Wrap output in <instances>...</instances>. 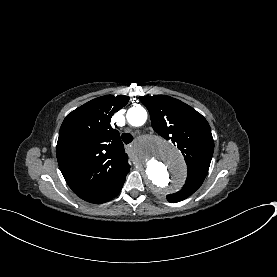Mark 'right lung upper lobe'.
I'll return each mask as SVG.
<instances>
[{"instance_id":"1","label":"right lung upper lobe","mask_w":277,"mask_h":277,"mask_svg":"<svg viewBox=\"0 0 277 277\" xmlns=\"http://www.w3.org/2000/svg\"><path fill=\"white\" fill-rule=\"evenodd\" d=\"M128 96L106 95L78 107L64 119L56 147L60 170L73 192L85 201H108L124 184L130 170L120 134L110 125L112 115ZM92 164L91 168L77 165ZM109 169L98 175L97 169Z\"/></svg>"}]
</instances>
